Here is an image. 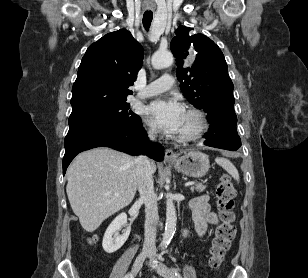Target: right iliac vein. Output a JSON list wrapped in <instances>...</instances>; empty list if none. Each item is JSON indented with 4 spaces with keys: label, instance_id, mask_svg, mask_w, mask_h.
I'll use <instances>...</instances> for the list:
<instances>
[{
    "label": "right iliac vein",
    "instance_id": "1",
    "mask_svg": "<svg viewBox=\"0 0 308 278\" xmlns=\"http://www.w3.org/2000/svg\"><path fill=\"white\" fill-rule=\"evenodd\" d=\"M149 256V253L144 251L141 252L135 259L134 264L132 266V273L131 276L132 278H134V276L139 272V270L141 269L146 257Z\"/></svg>",
    "mask_w": 308,
    "mask_h": 278
}]
</instances>
